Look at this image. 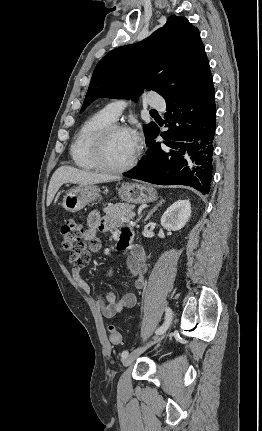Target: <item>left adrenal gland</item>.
<instances>
[{"instance_id":"1","label":"left adrenal gland","mask_w":262,"mask_h":431,"mask_svg":"<svg viewBox=\"0 0 262 431\" xmlns=\"http://www.w3.org/2000/svg\"><path fill=\"white\" fill-rule=\"evenodd\" d=\"M163 202H164V200L163 199H161L157 204H156V206H154L153 207V209L148 213V215L146 216V218L144 219V222L145 221H147L149 218H150V216L157 210V208L159 207V206H161L162 204H163Z\"/></svg>"}]
</instances>
